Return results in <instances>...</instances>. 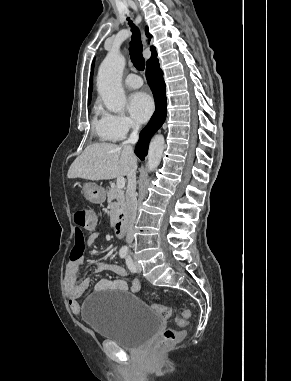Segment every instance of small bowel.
Instances as JSON below:
<instances>
[{"label": "small bowel", "instance_id": "obj_1", "mask_svg": "<svg viewBox=\"0 0 291 381\" xmlns=\"http://www.w3.org/2000/svg\"><path fill=\"white\" fill-rule=\"evenodd\" d=\"M98 239L97 233H92L86 239V244L91 246L95 244ZM83 240L78 236L76 232V243L70 254L69 260L65 269V278H64V291L67 297L68 304L73 313L77 314L81 310L80 303L78 298L83 294V292L89 286L88 279H79L78 270L79 266L82 263V255L80 253V248L83 244ZM107 269L117 275L118 277L126 276V270L117 264L107 266ZM96 291H127L128 285L123 279H101L96 284ZM141 288V283L139 279L134 278L130 284V290L134 293L138 292Z\"/></svg>", "mask_w": 291, "mask_h": 381}]
</instances>
